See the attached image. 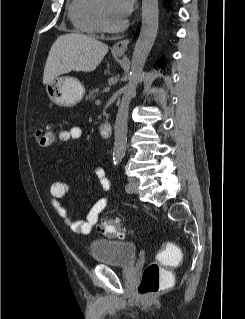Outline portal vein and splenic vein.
<instances>
[{
    "label": "portal vein and splenic vein",
    "instance_id": "18ae733b",
    "mask_svg": "<svg viewBox=\"0 0 245 319\" xmlns=\"http://www.w3.org/2000/svg\"><path fill=\"white\" fill-rule=\"evenodd\" d=\"M101 103V101L98 99L95 101V104L99 105Z\"/></svg>",
    "mask_w": 245,
    "mask_h": 319
}]
</instances>
